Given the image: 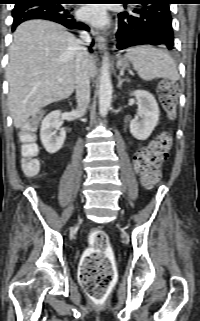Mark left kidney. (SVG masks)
Instances as JSON below:
<instances>
[{
    "mask_svg": "<svg viewBox=\"0 0 200 321\" xmlns=\"http://www.w3.org/2000/svg\"><path fill=\"white\" fill-rule=\"evenodd\" d=\"M131 95L137 100L138 115L130 122V132L136 139L146 140L158 123L159 107L155 97L148 91L136 90Z\"/></svg>",
    "mask_w": 200,
    "mask_h": 321,
    "instance_id": "obj_1",
    "label": "left kidney"
}]
</instances>
